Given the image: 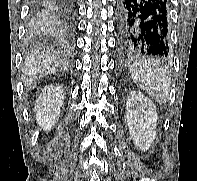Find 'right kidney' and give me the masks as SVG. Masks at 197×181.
I'll use <instances>...</instances> for the list:
<instances>
[{
	"mask_svg": "<svg viewBox=\"0 0 197 181\" xmlns=\"http://www.w3.org/2000/svg\"><path fill=\"white\" fill-rule=\"evenodd\" d=\"M64 100L62 86H45L36 100L34 111L38 125L45 131H50L58 120Z\"/></svg>",
	"mask_w": 197,
	"mask_h": 181,
	"instance_id": "right-kidney-1",
	"label": "right kidney"
}]
</instances>
